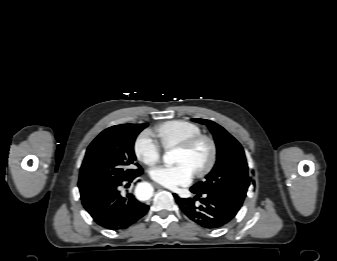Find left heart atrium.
Listing matches in <instances>:
<instances>
[{
	"label": "left heart atrium",
	"instance_id": "39dd6f15",
	"mask_svg": "<svg viewBox=\"0 0 337 261\" xmlns=\"http://www.w3.org/2000/svg\"><path fill=\"white\" fill-rule=\"evenodd\" d=\"M193 171L184 163L176 165H159L149 171L150 177L157 183L175 188L191 183Z\"/></svg>",
	"mask_w": 337,
	"mask_h": 261
}]
</instances>
